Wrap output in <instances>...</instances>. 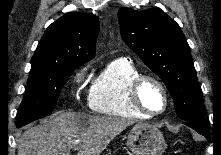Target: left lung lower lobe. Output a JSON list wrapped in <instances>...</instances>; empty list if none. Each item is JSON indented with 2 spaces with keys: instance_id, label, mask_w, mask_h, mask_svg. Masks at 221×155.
Wrapping results in <instances>:
<instances>
[{
  "instance_id": "0a47b994",
  "label": "left lung lower lobe",
  "mask_w": 221,
  "mask_h": 155,
  "mask_svg": "<svg viewBox=\"0 0 221 155\" xmlns=\"http://www.w3.org/2000/svg\"><path fill=\"white\" fill-rule=\"evenodd\" d=\"M183 124L191 127L192 129L197 131L199 134L205 136L208 141H211L210 132H209V129L207 128V126H206V123L183 121Z\"/></svg>"
}]
</instances>
